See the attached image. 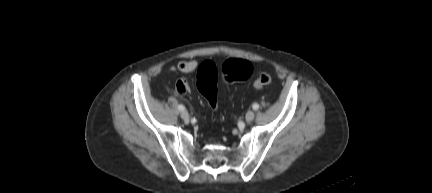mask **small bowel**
<instances>
[{
    "label": "small bowel",
    "mask_w": 432,
    "mask_h": 193,
    "mask_svg": "<svg viewBox=\"0 0 432 193\" xmlns=\"http://www.w3.org/2000/svg\"><path fill=\"white\" fill-rule=\"evenodd\" d=\"M197 66L198 63L196 60H183L178 63L177 69L180 72L189 73V72H193L197 68ZM187 88H188V83L184 79L179 80L176 84V90L179 93L185 92ZM180 89H182V91H180Z\"/></svg>",
    "instance_id": "c3829d8e"
}]
</instances>
